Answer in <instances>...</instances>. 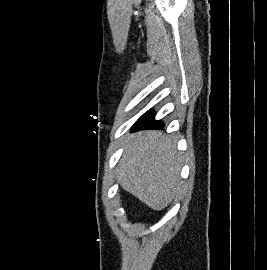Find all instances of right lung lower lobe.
I'll list each match as a JSON object with an SVG mask.
<instances>
[{
	"label": "right lung lower lobe",
	"mask_w": 267,
	"mask_h": 270,
	"mask_svg": "<svg viewBox=\"0 0 267 270\" xmlns=\"http://www.w3.org/2000/svg\"><path fill=\"white\" fill-rule=\"evenodd\" d=\"M164 124L161 121L155 120V113L152 110L143 114L133 125L132 130L138 131L143 129H161Z\"/></svg>",
	"instance_id": "obj_1"
}]
</instances>
